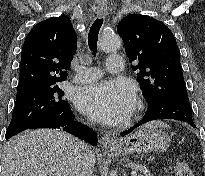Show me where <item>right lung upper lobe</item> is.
Masks as SVG:
<instances>
[{"mask_svg":"<svg viewBox=\"0 0 205 176\" xmlns=\"http://www.w3.org/2000/svg\"><path fill=\"white\" fill-rule=\"evenodd\" d=\"M76 44L68 16L52 17L35 25L22 48L17 95L66 80Z\"/></svg>","mask_w":205,"mask_h":176,"instance_id":"obj_1","label":"right lung upper lobe"}]
</instances>
